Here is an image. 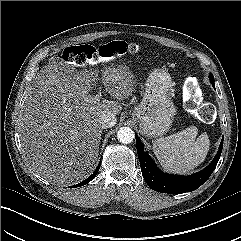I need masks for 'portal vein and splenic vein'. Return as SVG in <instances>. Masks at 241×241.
Wrapping results in <instances>:
<instances>
[{
  "label": "portal vein and splenic vein",
  "mask_w": 241,
  "mask_h": 241,
  "mask_svg": "<svg viewBox=\"0 0 241 241\" xmlns=\"http://www.w3.org/2000/svg\"><path fill=\"white\" fill-rule=\"evenodd\" d=\"M101 98V93L99 92L98 94L94 95L95 100H99Z\"/></svg>",
  "instance_id": "18ae733b"
}]
</instances>
